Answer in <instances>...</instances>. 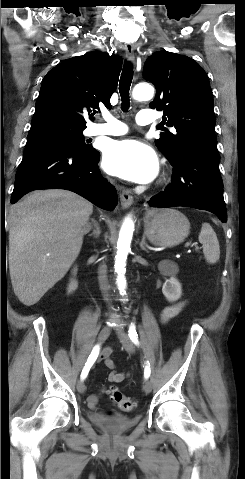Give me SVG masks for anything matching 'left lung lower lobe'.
<instances>
[{
  "mask_svg": "<svg viewBox=\"0 0 245 479\" xmlns=\"http://www.w3.org/2000/svg\"><path fill=\"white\" fill-rule=\"evenodd\" d=\"M171 164L174 168L172 183L164 192L152 197L149 206H186L207 210L226 222L217 148L198 147L188 150Z\"/></svg>",
  "mask_w": 245,
  "mask_h": 479,
  "instance_id": "left-lung-lower-lobe-1",
  "label": "left lung lower lobe"
}]
</instances>
